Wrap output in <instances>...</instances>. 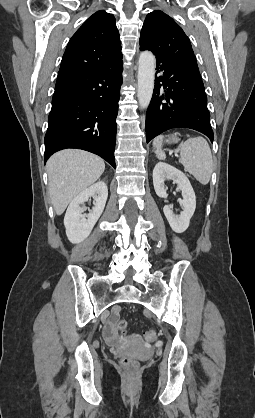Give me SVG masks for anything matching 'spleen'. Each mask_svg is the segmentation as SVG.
<instances>
[{
    "label": "spleen",
    "instance_id": "1",
    "mask_svg": "<svg viewBox=\"0 0 255 418\" xmlns=\"http://www.w3.org/2000/svg\"><path fill=\"white\" fill-rule=\"evenodd\" d=\"M163 138L164 136L160 135L153 141L156 156L160 160L166 158L161 150ZM176 151L180 152L179 162L184 166L185 171L192 174L202 185L208 184L213 172V158L208 142L200 136L189 138L181 143Z\"/></svg>",
    "mask_w": 255,
    "mask_h": 418
}]
</instances>
